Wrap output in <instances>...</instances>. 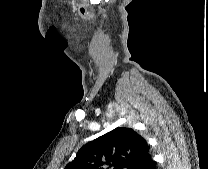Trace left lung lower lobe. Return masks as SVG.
Here are the masks:
<instances>
[{"instance_id": "1", "label": "left lung lower lobe", "mask_w": 208, "mask_h": 169, "mask_svg": "<svg viewBox=\"0 0 208 169\" xmlns=\"http://www.w3.org/2000/svg\"><path fill=\"white\" fill-rule=\"evenodd\" d=\"M141 169H156L155 162L152 160L151 155L148 154Z\"/></svg>"}]
</instances>
